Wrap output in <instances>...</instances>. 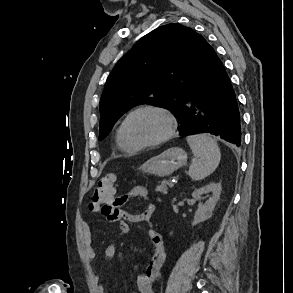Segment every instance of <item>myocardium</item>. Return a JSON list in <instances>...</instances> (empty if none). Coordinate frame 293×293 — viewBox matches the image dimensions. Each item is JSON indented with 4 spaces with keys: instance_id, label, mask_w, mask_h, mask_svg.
<instances>
[{
    "instance_id": "myocardium-1",
    "label": "myocardium",
    "mask_w": 293,
    "mask_h": 293,
    "mask_svg": "<svg viewBox=\"0 0 293 293\" xmlns=\"http://www.w3.org/2000/svg\"><path fill=\"white\" fill-rule=\"evenodd\" d=\"M143 111H151V112H155V113L160 114L167 121V129L161 137H159L158 139H156L154 141L147 142V143H141V144H134V143H131L127 137L126 126H127L129 119L133 115H135L139 112H143ZM176 128H177V123H176L174 116L168 110H166L162 107L156 106V105H142V106L136 107L135 109L131 110L125 116V118L122 120V122L120 124L121 138H122L124 144L128 148L135 150V151L156 147V146H159V145L167 142L175 134Z\"/></svg>"
}]
</instances>
